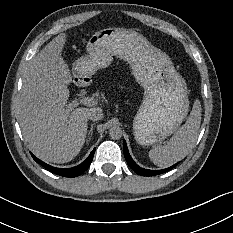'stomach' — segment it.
<instances>
[{
  "label": "stomach",
  "instance_id": "stomach-1",
  "mask_svg": "<svg viewBox=\"0 0 233 233\" xmlns=\"http://www.w3.org/2000/svg\"><path fill=\"white\" fill-rule=\"evenodd\" d=\"M86 52L72 66L76 83L109 67L115 56L129 64L131 74L143 87V101L133 121L138 144L155 145L179 128L189 110L185 80L169 57L145 36L132 29H101L88 39Z\"/></svg>",
  "mask_w": 233,
  "mask_h": 233
}]
</instances>
